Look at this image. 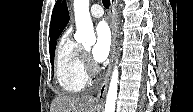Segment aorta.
I'll return each instance as SVG.
<instances>
[{
	"mask_svg": "<svg viewBox=\"0 0 193 112\" xmlns=\"http://www.w3.org/2000/svg\"><path fill=\"white\" fill-rule=\"evenodd\" d=\"M74 15L76 23L75 40L79 43L92 45L95 43V33L89 12V0H74ZM118 69L112 73L105 104V112H115L118 90Z\"/></svg>",
	"mask_w": 193,
	"mask_h": 112,
	"instance_id": "aorta-1",
	"label": "aorta"
}]
</instances>
